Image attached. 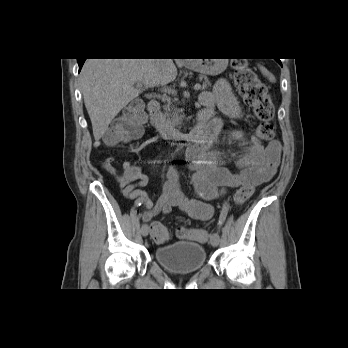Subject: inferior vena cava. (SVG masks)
Returning <instances> with one entry per match:
<instances>
[{
    "mask_svg": "<svg viewBox=\"0 0 348 348\" xmlns=\"http://www.w3.org/2000/svg\"><path fill=\"white\" fill-rule=\"evenodd\" d=\"M167 59H158L159 62H164L166 61Z\"/></svg>",
    "mask_w": 348,
    "mask_h": 348,
    "instance_id": "1",
    "label": "inferior vena cava"
}]
</instances>
